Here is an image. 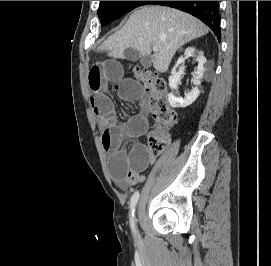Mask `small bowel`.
<instances>
[{
    "label": "small bowel",
    "instance_id": "c3829d8e",
    "mask_svg": "<svg viewBox=\"0 0 271 266\" xmlns=\"http://www.w3.org/2000/svg\"><path fill=\"white\" fill-rule=\"evenodd\" d=\"M90 107L101 129L103 148L109 154V169L114 183L122 188L133 186L144 179V174L155 158L143 143L123 147L126 139H139L148 134L147 109L125 122H118L111 94L125 101H144L145 93L130 78L124 77L122 64L106 60L91 67L88 74Z\"/></svg>",
    "mask_w": 271,
    "mask_h": 266
}]
</instances>
